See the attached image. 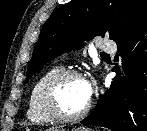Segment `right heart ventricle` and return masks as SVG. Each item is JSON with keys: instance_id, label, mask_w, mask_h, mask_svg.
Listing matches in <instances>:
<instances>
[{"instance_id": "right-heart-ventricle-1", "label": "right heart ventricle", "mask_w": 147, "mask_h": 131, "mask_svg": "<svg viewBox=\"0 0 147 131\" xmlns=\"http://www.w3.org/2000/svg\"><path fill=\"white\" fill-rule=\"evenodd\" d=\"M61 66H53L42 73L39 78L35 81L28 98L27 117L35 124H47L52 122L54 119L45 111L41 94L46 82L55 74L62 71Z\"/></svg>"}]
</instances>
